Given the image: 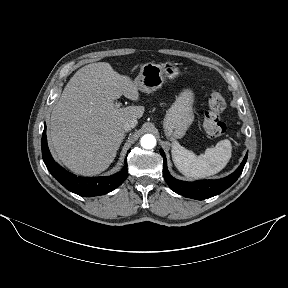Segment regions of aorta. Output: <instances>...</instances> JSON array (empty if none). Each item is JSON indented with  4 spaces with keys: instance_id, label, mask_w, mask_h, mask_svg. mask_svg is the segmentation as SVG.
<instances>
[{
    "instance_id": "aorta-1",
    "label": "aorta",
    "mask_w": 288,
    "mask_h": 288,
    "mask_svg": "<svg viewBox=\"0 0 288 288\" xmlns=\"http://www.w3.org/2000/svg\"><path fill=\"white\" fill-rule=\"evenodd\" d=\"M140 143L143 148L152 149L156 145V138L152 134H146L141 138Z\"/></svg>"
}]
</instances>
